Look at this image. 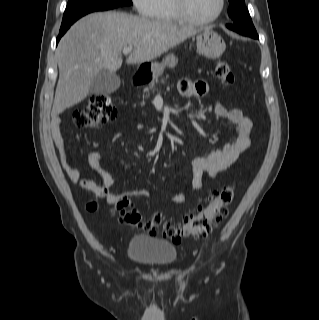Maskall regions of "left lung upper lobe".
Instances as JSON below:
<instances>
[{
	"mask_svg": "<svg viewBox=\"0 0 319 320\" xmlns=\"http://www.w3.org/2000/svg\"><path fill=\"white\" fill-rule=\"evenodd\" d=\"M230 2L228 14L234 25L249 30H255L244 0H228Z\"/></svg>",
	"mask_w": 319,
	"mask_h": 320,
	"instance_id": "obj_1",
	"label": "left lung upper lobe"
}]
</instances>
